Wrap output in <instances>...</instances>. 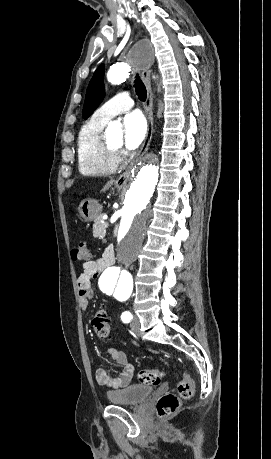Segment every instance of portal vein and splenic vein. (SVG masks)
Returning a JSON list of instances; mask_svg holds the SVG:
<instances>
[{
  "mask_svg": "<svg viewBox=\"0 0 271 459\" xmlns=\"http://www.w3.org/2000/svg\"><path fill=\"white\" fill-rule=\"evenodd\" d=\"M108 223H109L108 221H105V223H104V226H103V227H104V228H107V227H108V226H107V225H108Z\"/></svg>",
  "mask_w": 271,
  "mask_h": 459,
  "instance_id": "portal-vein-and-splenic-vein-1",
  "label": "portal vein and splenic vein"
}]
</instances>
